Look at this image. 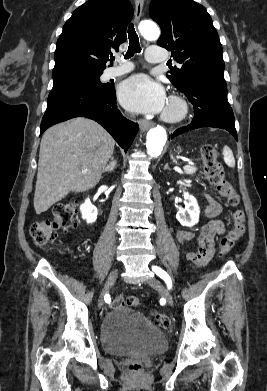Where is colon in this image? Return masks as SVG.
<instances>
[{
    "mask_svg": "<svg viewBox=\"0 0 267 391\" xmlns=\"http://www.w3.org/2000/svg\"><path fill=\"white\" fill-rule=\"evenodd\" d=\"M201 156L204 164V173L209 184L224 197L230 206L239 204V196L234 187L225 179L223 168L218 161V152L214 145L206 144L202 147ZM77 214V204L75 202L58 203L53 207L52 216L34 222L30 228L31 236L35 244L39 247L47 245L57 237L58 231H69L75 226V216ZM233 225L230 231L220 241V253L227 254L232 250L235 243L245 232V214L242 210H235L232 214ZM138 307L139 297L129 295L126 297L117 296L112 306ZM154 323L168 330L171 326L170 318L163 313L153 311L151 315ZM142 363L134 361L129 365V370L139 372L142 370Z\"/></svg>",
    "mask_w": 267,
    "mask_h": 391,
    "instance_id": "1",
    "label": "colon"
}]
</instances>
